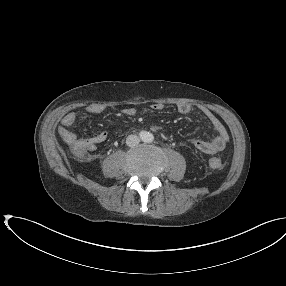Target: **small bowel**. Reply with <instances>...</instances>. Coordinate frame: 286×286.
<instances>
[{
  "mask_svg": "<svg viewBox=\"0 0 286 286\" xmlns=\"http://www.w3.org/2000/svg\"><path fill=\"white\" fill-rule=\"evenodd\" d=\"M151 108L154 111H162L164 105L162 103H154ZM199 110L206 116L210 121L215 131V137L212 140H202V139H193V145L200 151L204 153H217L222 151L228 140L229 135L227 129L223 123L206 107L199 106ZM176 109L180 114H188L192 112L195 107L190 103L182 102L176 105ZM103 108L98 105H90L87 107L86 112L90 115H97L103 112ZM124 115L134 116L136 114L135 108L129 107L123 110ZM62 126L58 128V133L65 141L68 142L69 139L74 138L76 145L84 153L94 152L97 150V147L100 143H103L108 138V133L106 131L99 132L98 134L87 137V138H78L74 133L78 125V117L76 113L69 112L61 120Z\"/></svg>",
  "mask_w": 286,
  "mask_h": 286,
  "instance_id": "c3829d8e",
  "label": "small bowel"
}]
</instances>
